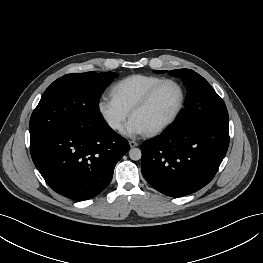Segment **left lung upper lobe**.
Returning <instances> with one entry per match:
<instances>
[{"label":"left lung upper lobe","mask_w":263,"mask_h":263,"mask_svg":"<svg viewBox=\"0 0 263 263\" xmlns=\"http://www.w3.org/2000/svg\"><path fill=\"white\" fill-rule=\"evenodd\" d=\"M170 74L180 77L188 89L186 108L171 126L188 132L208 123L229 120L225 103L202 76L190 69L171 70Z\"/></svg>","instance_id":"5c2ea615"}]
</instances>
